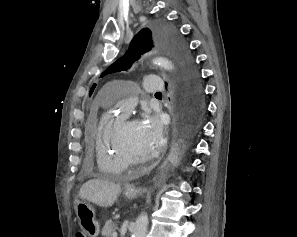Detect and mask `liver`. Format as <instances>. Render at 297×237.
<instances>
[{
	"label": "liver",
	"mask_w": 297,
	"mask_h": 237,
	"mask_svg": "<svg viewBox=\"0 0 297 237\" xmlns=\"http://www.w3.org/2000/svg\"><path fill=\"white\" fill-rule=\"evenodd\" d=\"M121 192V186L102 179H92L84 183L79 191L82 199L100 207H111Z\"/></svg>",
	"instance_id": "6515ba94"
}]
</instances>
